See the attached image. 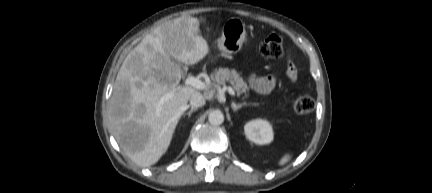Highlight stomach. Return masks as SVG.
<instances>
[{"label": "stomach", "mask_w": 432, "mask_h": 193, "mask_svg": "<svg viewBox=\"0 0 432 193\" xmlns=\"http://www.w3.org/2000/svg\"><path fill=\"white\" fill-rule=\"evenodd\" d=\"M246 40L245 24L237 18H231L223 25L222 36L216 43L219 50L232 54L237 53Z\"/></svg>", "instance_id": "stomach-1"}]
</instances>
